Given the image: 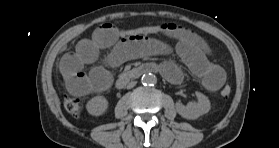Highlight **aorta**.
<instances>
[{"label":"aorta","instance_id":"762f6f07","mask_svg":"<svg viewBox=\"0 0 279 148\" xmlns=\"http://www.w3.org/2000/svg\"><path fill=\"white\" fill-rule=\"evenodd\" d=\"M141 82L143 85L153 86L154 84L157 83V78L152 73H145L141 78Z\"/></svg>","mask_w":279,"mask_h":148}]
</instances>
